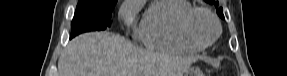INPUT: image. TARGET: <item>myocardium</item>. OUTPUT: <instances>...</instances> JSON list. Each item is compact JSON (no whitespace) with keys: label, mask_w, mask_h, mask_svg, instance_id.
<instances>
[{"label":"myocardium","mask_w":287,"mask_h":76,"mask_svg":"<svg viewBox=\"0 0 287 76\" xmlns=\"http://www.w3.org/2000/svg\"><path fill=\"white\" fill-rule=\"evenodd\" d=\"M198 14H204L206 15L214 24L216 31L214 36L209 41H202L196 37V35L193 32V20L196 15ZM182 31L187 38L188 41H190L195 46L204 49L209 46H211L220 36L221 34V25L218 20V18L207 8L204 7H192L190 10H188L182 19Z\"/></svg>","instance_id":"f54148a6"}]
</instances>
